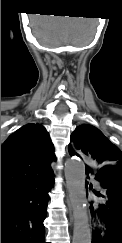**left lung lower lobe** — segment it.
Here are the masks:
<instances>
[{
	"mask_svg": "<svg viewBox=\"0 0 122 243\" xmlns=\"http://www.w3.org/2000/svg\"><path fill=\"white\" fill-rule=\"evenodd\" d=\"M93 172L102 190L94 191L97 201L91 202L90 211L102 227L95 229L92 243H122V214L119 212L122 208V166L91 168L86 165L87 177Z\"/></svg>",
	"mask_w": 122,
	"mask_h": 243,
	"instance_id": "0a47b994",
	"label": "left lung lower lobe"
}]
</instances>
